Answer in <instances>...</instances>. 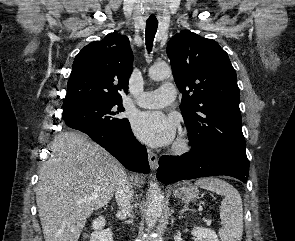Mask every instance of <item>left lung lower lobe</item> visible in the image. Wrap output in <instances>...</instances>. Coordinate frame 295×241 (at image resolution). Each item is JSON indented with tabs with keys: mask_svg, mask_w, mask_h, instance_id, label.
Returning a JSON list of instances; mask_svg holds the SVG:
<instances>
[{
	"mask_svg": "<svg viewBox=\"0 0 295 241\" xmlns=\"http://www.w3.org/2000/svg\"><path fill=\"white\" fill-rule=\"evenodd\" d=\"M249 161L246 154L224 148L210 147L201 151L190 150L182 156H162L157 178L165 184L184 179L227 175L242 182L248 179Z\"/></svg>",
	"mask_w": 295,
	"mask_h": 241,
	"instance_id": "obj_1",
	"label": "left lung lower lobe"
}]
</instances>
